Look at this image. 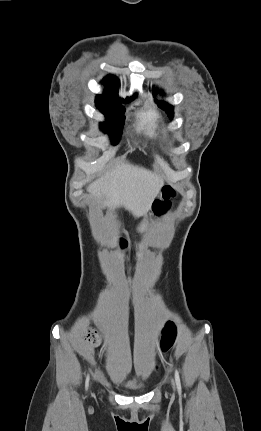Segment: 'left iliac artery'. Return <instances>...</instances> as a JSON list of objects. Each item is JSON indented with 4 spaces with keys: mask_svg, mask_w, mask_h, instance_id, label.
Instances as JSON below:
<instances>
[{
    "mask_svg": "<svg viewBox=\"0 0 261 431\" xmlns=\"http://www.w3.org/2000/svg\"><path fill=\"white\" fill-rule=\"evenodd\" d=\"M175 381H176V386L179 392H181V382H180V376H179V372L176 369L175 370Z\"/></svg>",
    "mask_w": 261,
    "mask_h": 431,
    "instance_id": "1",
    "label": "left iliac artery"
}]
</instances>
